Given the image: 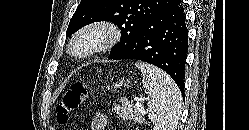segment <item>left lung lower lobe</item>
<instances>
[{
    "instance_id": "obj_1",
    "label": "left lung lower lobe",
    "mask_w": 249,
    "mask_h": 130,
    "mask_svg": "<svg viewBox=\"0 0 249 130\" xmlns=\"http://www.w3.org/2000/svg\"><path fill=\"white\" fill-rule=\"evenodd\" d=\"M188 30L181 1L172 0L168 7L149 19L114 60L135 59L153 64L167 72L184 96L185 61Z\"/></svg>"
}]
</instances>
